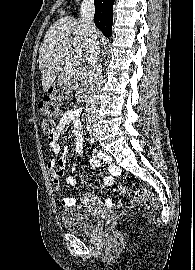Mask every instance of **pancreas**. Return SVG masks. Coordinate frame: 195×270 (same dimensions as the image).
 I'll use <instances>...</instances> for the list:
<instances>
[{
  "label": "pancreas",
  "instance_id": "1",
  "mask_svg": "<svg viewBox=\"0 0 195 270\" xmlns=\"http://www.w3.org/2000/svg\"><path fill=\"white\" fill-rule=\"evenodd\" d=\"M74 68H73V74L74 76L81 82V83H87L88 80V72L86 69V66L79 62L75 61L74 62Z\"/></svg>",
  "mask_w": 195,
  "mask_h": 270
}]
</instances>
